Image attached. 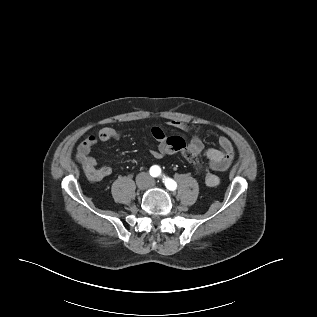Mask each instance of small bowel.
Returning <instances> with one entry per match:
<instances>
[{
	"label": "small bowel",
	"mask_w": 317,
	"mask_h": 317,
	"mask_svg": "<svg viewBox=\"0 0 317 317\" xmlns=\"http://www.w3.org/2000/svg\"><path fill=\"white\" fill-rule=\"evenodd\" d=\"M167 125L172 128L191 132L192 137L188 143H185L182 137H166L161 127H152V136L160 142L158 148L153 151L154 157L162 158L167 154L175 153L178 151L175 150V147H179L180 150H186L189 154L195 157L203 153L208 161V166L204 173V182L209 187L217 186L220 183V178L216 172H223L227 170L234 158V147L231 141L227 137L221 136L218 140L219 149H205L198 127H194L180 120H169ZM120 136V132L116 129L112 127H102L95 134L87 137L79 145L77 157L82 166L88 172L90 179L99 181L109 177L113 173V168L110 166H98L96 159L91 155L92 149L98 142H107L119 139ZM168 138L175 139L176 142L167 144L166 140Z\"/></svg>",
	"instance_id": "obj_1"
}]
</instances>
